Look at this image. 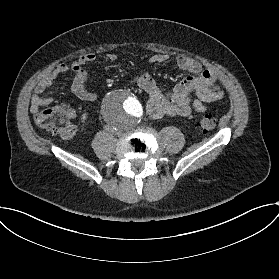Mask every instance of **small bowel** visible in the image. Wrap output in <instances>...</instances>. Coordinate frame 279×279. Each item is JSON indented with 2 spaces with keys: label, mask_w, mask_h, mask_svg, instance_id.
<instances>
[{
  "label": "small bowel",
  "mask_w": 279,
  "mask_h": 279,
  "mask_svg": "<svg viewBox=\"0 0 279 279\" xmlns=\"http://www.w3.org/2000/svg\"><path fill=\"white\" fill-rule=\"evenodd\" d=\"M95 59L96 54L94 52H87L81 54L71 64L60 63L48 71L34 88V94L30 102V112L37 114L42 107L53 103V97L44 95V92L53 85L56 79L66 74H73L72 82L68 88L70 93L84 101H95L98 95L86 87L87 71L85 69V66L94 62ZM116 59L115 54L109 55L110 61ZM168 59V54L158 53L151 56L150 63L162 64ZM176 64L180 70L187 72L189 75L177 84L171 95L161 93L155 80L148 73H143L131 79V82L137 84L147 93L146 111L154 120L185 118L192 111L204 112L207 103L220 100L224 95L216 76L211 71L204 69L200 61L185 55H179ZM71 117H75L74 112H71Z\"/></svg>",
  "instance_id": "1"
}]
</instances>
